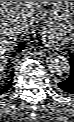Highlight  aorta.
Instances as JSON below:
<instances>
[{"mask_svg":"<svg viewBox=\"0 0 74 122\" xmlns=\"http://www.w3.org/2000/svg\"><path fill=\"white\" fill-rule=\"evenodd\" d=\"M46 65L49 72L55 75H66L70 71L67 58L58 53L48 55Z\"/></svg>","mask_w":74,"mask_h":122,"instance_id":"762f6f07","label":"aorta"}]
</instances>
